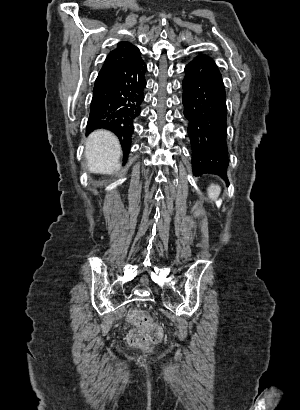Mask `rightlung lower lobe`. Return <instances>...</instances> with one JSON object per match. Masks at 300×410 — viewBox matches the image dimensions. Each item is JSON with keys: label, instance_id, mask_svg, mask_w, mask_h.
Listing matches in <instances>:
<instances>
[{"label": "right lung lower lobe", "instance_id": "obj_1", "mask_svg": "<svg viewBox=\"0 0 300 410\" xmlns=\"http://www.w3.org/2000/svg\"><path fill=\"white\" fill-rule=\"evenodd\" d=\"M147 66L140 59L101 69L95 81L87 132L104 128L119 138L124 160L129 154L134 122L141 112Z\"/></svg>", "mask_w": 300, "mask_h": 410}]
</instances>
